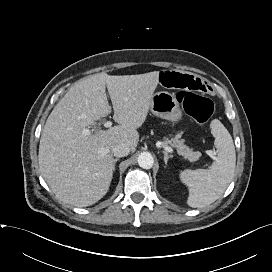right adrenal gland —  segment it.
Here are the masks:
<instances>
[{
  "mask_svg": "<svg viewBox=\"0 0 272 272\" xmlns=\"http://www.w3.org/2000/svg\"><path fill=\"white\" fill-rule=\"evenodd\" d=\"M117 161H118V158L114 159V161H113V167H112L113 171L115 170V164Z\"/></svg>",
  "mask_w": 272,
  "mask_h": 272,
  "instance_id": "right-adrenal-gland-1",
  "label": "right adrenal gland"
}]
</instances>
